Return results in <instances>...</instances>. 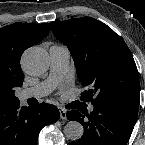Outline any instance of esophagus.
Listing matches in <instances>:
<instances>
[{"instance_id": "obj_1", "label": "esophagus", "mask_w": 145, "mask_h": 145, "mask_svg": "<svg viewBox=\"0 0 145 145\" xmlns=\"http://www.w3.org/2000/svg\"><path fill=\"white\" fill-rule=\"evenodd\" d=\"M59 112H60V118L63 119V120H66L67 119V112H66V110L60 108Z\"/></svg>"}]
</instances>
